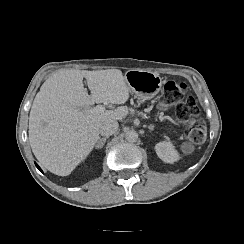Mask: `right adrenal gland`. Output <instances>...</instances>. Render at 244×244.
<instances>
[{
  "label": "right adrenal gland",
  "instance_id": "1",
  "mask_svg": "<svg viewBox=\"0 0 244 244\" xmlns=\"http://www.w3.org/2000/svg\"><path fill=\"white\" fill-rule=\"evenodd\" d=\"M107 139L108 137L102 138L101 136H99V140L97 141L96 148L103 147Z\"/></svg>",
  "mask_w": 244,
  "mask_h": 244
}]
</instances>
